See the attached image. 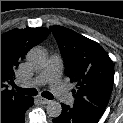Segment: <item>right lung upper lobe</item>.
I'll use <instances>...</instances> for the list:
<instances>
[{"label": "right lung upper lobe", "mask_w": 123, "mask_h": 123, "mask_svg": "<svg viewBox=\"0 0 123 123\" xmlns=\"http://www.w3.org/2000/svg\"><path fill=\"white\" fill-rule=\"evenodd\" d=\"M50 31L44 27L13 29L1 35V109L23 102L27 97L8 89L24 55L41 43Z\"/></svg>", "instance_id": "obj_1"}]
</instances>
